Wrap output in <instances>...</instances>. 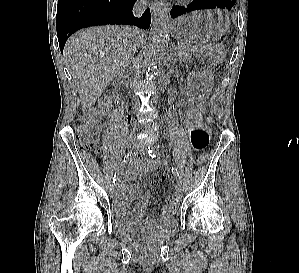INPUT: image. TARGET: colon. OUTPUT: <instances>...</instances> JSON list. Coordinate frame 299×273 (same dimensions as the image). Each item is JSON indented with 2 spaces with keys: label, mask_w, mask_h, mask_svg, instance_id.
Instances as JSON below:
<instances>
[{
  "label": "colon",
  "mask_w": 299,
  "mask_h": 273,
  "mask_svg": "<svg viewBox=\"0 0 299 273\" xmlns=\"http://www.w3.org/2000/svg\"><path fill=\"white\" fill-rule=\"evenodd\" d=\"M194 54L205 61L206 67L211 69L217 66L224 57V49L218 44H198L193 47ZM207 110V105L204 101H199L192 106L188 123L192 125L203 124L204 115ZM98 132V126L94 118L90 117L87 121L78 127V141L80 142L83 149L91 152H97L95 144V138ZM208 160L206 153H201L197 162L199 165H203ZM181 199V194L178 190L173 194L169 204L173 207H177Z\"/></svg>",
  "instance_id": "colon-1"
}]
</instances>
